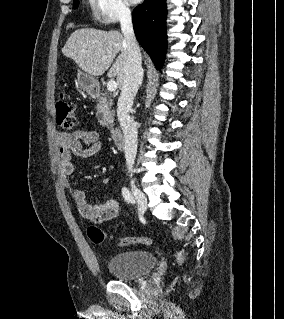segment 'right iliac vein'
I'll list each match as a JSON object with an SVG mask.
<instances>
[{"instance_id":"63e3f726","label":"right iliac vein","mask_w":284,"mask_h":319,"mask_svg":"<svg viewBox=\"0 0 284 319\" xmlns=\"http://www.w3.org/2000/svg\"><path fill=\"white\" fill-rule=\"evenodd\" d=\"M131 190L137 203L138 210L143 214L147 209V199L140 189L137 188L133 180H131Z\"/></svg>"}]
</instances>
